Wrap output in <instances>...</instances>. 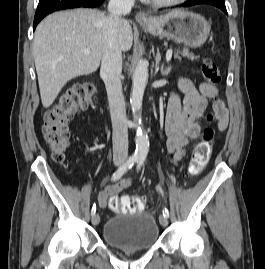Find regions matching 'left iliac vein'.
Wrapping results in <instances>:
<instances>
[{
  "instance_id": "4c4485c4",
  "label": "left iliac vein",
  "mask_w": 265,
  "mask_h": 269,
  "mask_svg": "<svg viewBox=\"0 0 265 269\" xmlns=\"http://www.w3.org/2000/svg\"><path fill=\"white\" fill-rule=\"evenodd\" d=\"M159 222H160V224L162 225V226H167L168 225V219H167V217H165L164 215H161L160 217H159Z\"/></svg>"
}]
</instances>
